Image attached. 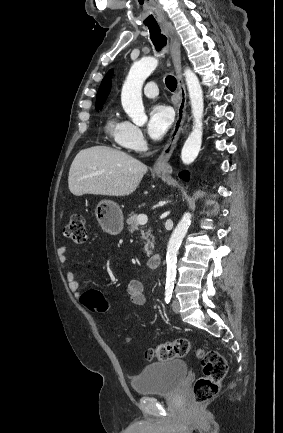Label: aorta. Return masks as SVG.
I'll return each instance as SVG.
<instances>
[{
    "label": "aorta",
    "mask_w": 283,
    "mask_h": 433,
    "mask_svg": "<svg viewBox=\"0 0 283 433\" xmlns=\"http://www.w3.org/2000/svg\"><path fill=\"white\" fill-rule=\"evenodd\" d=\"M158 60L154 57L142 58L134 62L124 82L121 93V102L124 111L134 124L142 126L147 121L142 102V86L145 80L156 69ZM185 81L189 93L193 116V127L186 139L181 159L186 165L191 164L199 154L203 135V91L196 74L189 68L184 71ZM190 226V214L184 213L182 219L173 231L167 246L166 286L173 287L176 277L177 254L179 247Z\"/></svg>",
    "instance_id": "762f6f07"
}]
</instances>
